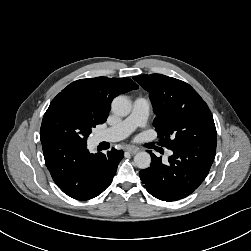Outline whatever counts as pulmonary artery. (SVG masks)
Returning a JSON list of instances; mask_svg holds the SVG:
<instances>
[{
    "instance_id": "1",
    "label": "pulmonary artery",
    "mask_w": 251,
    "mask_h": 251,
    "mask_svg": "<svg viewBox=\"0 0 251 251\" xmlns=\"http://www.w3.org/2000/svg\"><path fill=\"white\" fill-rule=\"evenodd\" d=\"M149 101L144 97H138L134 100L130 115L120 123L101 131L97 135V140L115 142L126 138L137 127H142L146 124Z\"/></svg>"
}]
</instances>
